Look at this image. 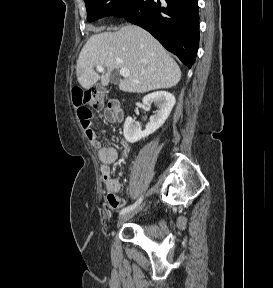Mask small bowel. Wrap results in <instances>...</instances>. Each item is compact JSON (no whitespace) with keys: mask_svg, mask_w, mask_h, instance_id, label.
<instances>
[{"mask_svg":"<svg viewBox=\"0 0 273 288\" xmlns=\"http://www.w3.org/2000/svg\"><path fill=\"white\" fill-rule=\"evenodd\" d=\"M104 118L109 123H117L121 120V115L117 110L115 103H110L104 110ZM85 134L91 144L97 149V154L101 162V174L104 189L107 193V205L109 209H118L125 205V201L119 197L120 183L111 174V164L114 163L118 157V152L113 147H106L102 145L96 135V131L92 127L85 129ZM122 150L124 156L129 152V146L126 142L122 143Z\"/></svg>","mask_w":273,"mask_h":288,"instance_id":"c3829d8e","label":"small bowel"}]
</instances>
